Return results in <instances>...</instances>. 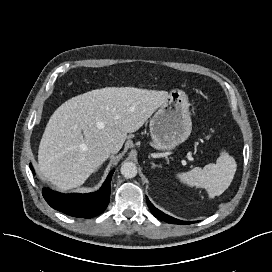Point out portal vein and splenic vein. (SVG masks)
Returning <instances> with one entry per match:
<instances>
[{"mask_svg":"<svg viewBox=\"0 0 272 272\" xmlns=\"http://www.w3.org/2000/svg\"><path fill=\"white\" fill-rule=\"evenodd\" d=\"M187 158L190 161H194V158L191 155L187 156ZM182 163L185 164V161L183 160Z\"/></svg>","mask_w":272,"mask_h":272,"instance_id":"18ae733b","label":"portal vein and splenic vein"}]
</instances>
